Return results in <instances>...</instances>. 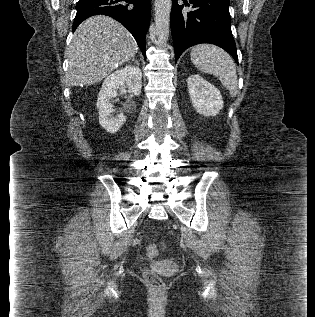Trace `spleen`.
<instances>
[{
    "instance_id": "obj_1",
    "label": "spleen",
    "mask_w": 315,
    "mask_h": 317,
    "mask_svg": "<svg viewBox=\"0 0 315 317\" xmlns=\"http://www.w3.org/2000/svg\"><path fill=\"white\" fill-rule=\"evenodd\" d=\"M190 58L202 72L213 74L222 85L235 97L238 90L236 67L231 56L220 47L211 44H200L192 48Z\"/></svg>"
}]
</instances>
